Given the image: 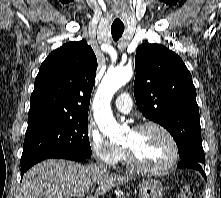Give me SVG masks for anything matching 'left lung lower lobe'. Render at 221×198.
I'll list each match as a JSON object with an SVG mask.
<instances>
[{"label": "left lung lower lobe", "instance_id": "0a47b994", "mask_svg": "<svg viewBox=\"0 0 221 198\" xmlns=\"http://www.w3.org/2000/svg\"><path fill=\"white\" fill-rule=\"evenodd\" d=\"M178 167H188V168H192V169H196L198 170L203 177L206 179V174L203 171L202 165L196 162H191V161H186V160H181L178 163Z\"/></svg>", "mask_w": 221, "mask_h": 198}]
</instances>
